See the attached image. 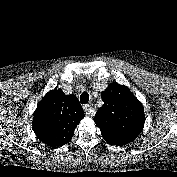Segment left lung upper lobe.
Segmentation results:
<instances>
[{"instance_id": "5c2ea615", "label": "left lung upper lobe", "mask_w": 177, "mask_h": 177, "mask_svg": "<svg viewBox=\"0 0 177 177\" xmlns=\"http://www.w3.org/2000/svg\"><path fill=\"white\" fill-rule=\"evenodd\" d=\"M104 102L94 121L106 142L123 146L134 141L145 123L144 107L123 85L111 83L101 93Z\"/></svg>"}]
</instances>
